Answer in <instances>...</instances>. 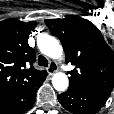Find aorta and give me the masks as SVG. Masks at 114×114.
Wrapping results in <instances>:
<instances>
[{
	"label": "aorta",
	"instance_id": "obj_1",
	"mask_svg": "<svg viewBox=\"0 0 114 114\" xmlns=\"http://www.w3.org/2000/svg\"><path fill=\"white\" fill-rule=\"evenodd\" d=\"M40 51L46 56L58 59L62 56V46L58 40L50 35H43L37 40ZM53 87L60 92L65 91L68 88L69 80L65 73L58 72L52 77Z\"/></svg>",
	"mask_w": 114,
	"mask_h": 114
}]
</instances>
